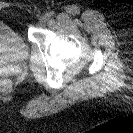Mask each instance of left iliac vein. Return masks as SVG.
<instances>
[{"label": "left iliac vein", "instance_id": "obj_1", "mask_svg": "<svg viewBox=\"0 0 133 133\" xmlns=\"http://www.w3.org/2000/svg\"><path fill=\"white\" fill-rule=\"evenodd\" d=\"M48 19H49V17L47 15H44V16L40 17L39 23L41 25H44L48 21Z\"/></svg>", "mask_w": 133, "mask_h": 133}]
</instances>
